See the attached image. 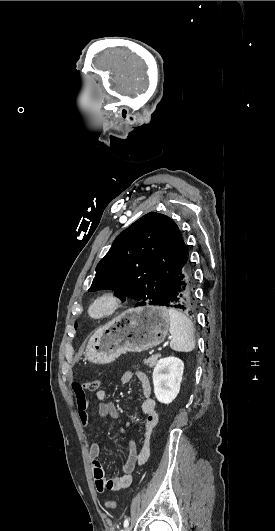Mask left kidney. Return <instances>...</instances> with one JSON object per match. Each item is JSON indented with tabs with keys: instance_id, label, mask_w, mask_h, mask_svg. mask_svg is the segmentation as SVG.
<instances>
[{
	"instance_id": "5707ae66",
	"label": "left kidney",
	"mask_w": 275,
	"mask_h": 531,
	"mask_svg": "<svg viewBox=\"0 0 275 531\" xmlns=\"http://www.w3.org/2000/svg\"><path fill=\"white\" fill-rule=\"evenodd\" d=\"M184 363L177 357L160 359L154 367L152 379L157 401L169 405L176 399L182 381Z\"/></svg>"
}]
</instances>
